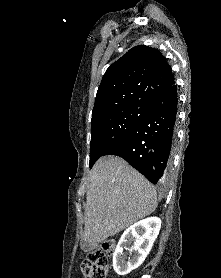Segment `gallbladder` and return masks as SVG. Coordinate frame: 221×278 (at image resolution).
<instances>
[{
  "mask_svg": "<svg viewBox=\"0 0 221 278\" xmlns=\"http://www.w3.org/2000/svg\"><path fill=\"white\" fill-rule=\"evenodd\" d=\"M81 248L84 250V251H89L91 249V245L87 242H83L81 244Z\"/></svg>",
  "mask_w": 221,
  "mask_h": 278,
  "instance_id": "1",
  "label": "gallbladder"
}]
</instances>
